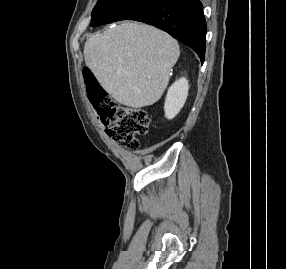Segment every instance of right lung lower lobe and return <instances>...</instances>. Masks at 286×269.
Listing matches in <instances>:
<instances>
[{
	"instance_id": "1",
	"label": "right lung lower lobe",
	"mask_w": 286,
	"mask_h": 269,
	"mask_svg": "<svg viewBox=\"0 0 286 269\" xmlns=\"http://www.w3.org/2000/svg\"><path fill=\"white\" fill-rule=\"evenodd\" d=\"M128 20L156 26L205 58L206 22L200 0H156Z\"/></svg>"
}]
</instances>
